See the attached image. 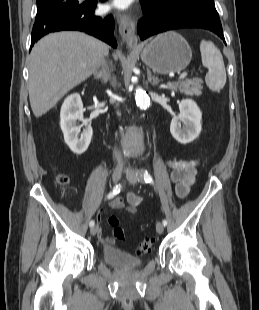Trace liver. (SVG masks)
<instances>
[{
  "mask_svg": "<svg viewBox=\"0 0 259 310\" xmlns=\"http://www.w3.org/2000/svg\"><path fill=\"white\" fill-rule=\"evenodd\" d=\"M109 53L106 43L80 32L52 33L34 45L29 63V99L35 117L52 109L89 78Z\"/></svg>",
  "mask_w": 259,
  "mask_h": 310,
  "instance_id": "obj_1",
  "label": "liver"
}]
</instances>
